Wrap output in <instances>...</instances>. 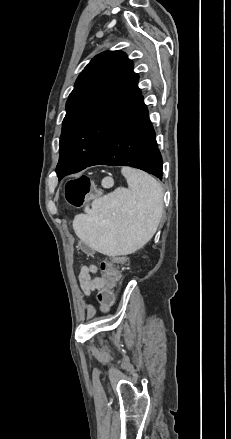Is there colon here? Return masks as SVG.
<instances>
[{
	"mask_svg": "<svg viewBox=\"0 0 231 439\" xmlns=\"http://www.w3.org/2000/svg\"><path fill=\"white\" fill-rule=\"evenodd\" d=\"M92 195V184L88 176L82 175L70 180L65 186V198L67 203L74 207H81L86 199ZM83 250L88 253L89 258L94 259L97 256L96 251L89 246L83 245ZM127 261L125 255H118L111 260H103L100 263V270L102 272V279L106 282L103 287H100L99 293L96 294V301L99 302L101 310L105 311V315H110V308L116 301V294L113 290L119 284V273L117 266L124 264Z\"/></svg>",
	"mask_w": 231,
	"mask_h": 439,
	"instance_id": "1",
	"label": "colon"
}]
</instances>
